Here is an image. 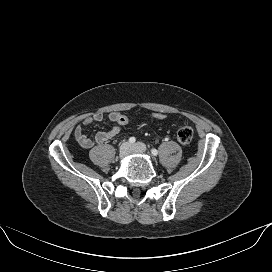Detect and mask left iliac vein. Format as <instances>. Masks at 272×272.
<instances>
[{
  "label": "left iliac vein",
  "instance_id": "obj_1",
  "mask_svg": "<svg viewBox=\"0 0 272 272\" xmlns=\"http://www.w3.org/2000/svg\"><path fill=\"white\" fill-rule=\"evenodd\" d=\"M132 150L133 152H136V153H145L146 145L141 142H137L134 145H132Z\"/></svg>",
  "mask_w": 272,
  "mask_h": 272
}]
</instances>
